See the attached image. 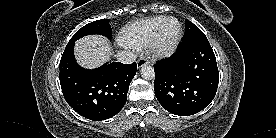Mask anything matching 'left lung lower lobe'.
I'll return each instance as SVG.
<instances>
[{"instance_id":"obj_1","label":"left lung lower lobe","mask_w":276,"mask_h":138,"mask_svg":"<svg viewBox=\"0 0 276 138\" xmlns=\"http://www.w3.org/2000/svg\"><path fill=\"white\" fill-rule=\"evenodd\" d=\"M156 98L168 112L189 116L214 98L219 71L208 40L179 46L176 53L154 65Z\"/></svg>"}]
</instances>
